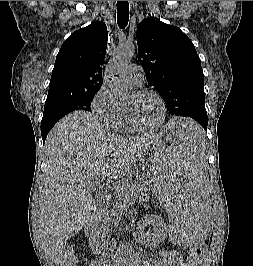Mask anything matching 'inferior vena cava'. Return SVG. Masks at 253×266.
Here are the masks:
<instances>
[{
	"mask_svg": "<svg viewBox=\"0 0 253 266\" xmlns=\"http://www.w3.org/2000/svg\"><path fill=\"white\" fill-rule=\"evenodd\" d=\"M94 218H95V220H96L95 223H97V221H98V222L100 221V219H99L100 217H97V215H94V216H93V219H94ZM93 219H92V220H93ZM94 230L97 231L98 228H95ZM97 233H99V232L97 231Z\"/></svg>",
	"mask_w": 253,
	"mask_h": 266,
	"instance_id": "602c4592",
	"label": "inferior vena cava"
}]
</instances>
